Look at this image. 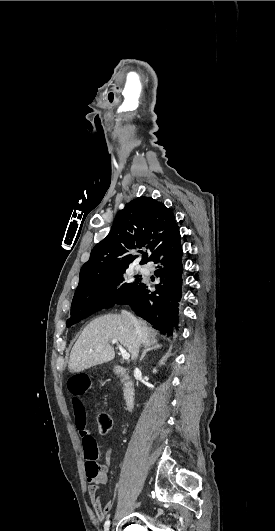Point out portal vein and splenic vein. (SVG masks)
Segmentation results:
<instances>
[{"mask_svg": "<svg viewBox=\"0 0 275 531\" xmlns=\"http://www.w3.org/2000/svg\"><path fill=\"white\" fill-rule=\"evenodd\" d=\"M112 345H117L121 355H122V359H130V353H127V351H125V349H123L122 345H119L118 341H116V339H113V341H111Z\"/></svg>", "mask_w": 275, "mask_h": 531, "instance_id": "1", "label": "portal vein and splenic vein"}]
</instances>
